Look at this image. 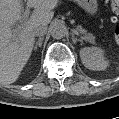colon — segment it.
Masks as SVG:
<instances>
[{"label":"colon","instance_id":"colon-1","mask_svg":"<svg viewBox=\"0 0 119 119\" xmlns=\"http://www.w3.org/2000/svg\"><path fill=\"white\" fill-rule=\"evenodd\" d=\"M111 10H112V22L116 23L119 18V2L117 0L111 1ZM114 36L117 41H119V26L114 27Z\"/></svg>","mask_w":119,"mask_h":119}]
</instances>
